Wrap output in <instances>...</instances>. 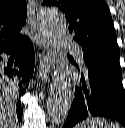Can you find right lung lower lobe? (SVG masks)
Masks as SVG:
<instances>
[{"mask_svg": "<svg viewBox=\"0 0 125 128\" xmlns=\"http://www.w3.org/2000/svg\"><path fill=\"white\" fill-rule=\"evenodd\" d=\"M3 54H9L10 58L14 57L15 62L8 63V65L4 67L0 66V71L13 79V85H18L20 95H22L26 92L24 86L29 84V80L34 72L35 53L33 45L29 38L24 36L17 41L0 48V62L3 61ZM18 79L20 80L19 83H17ZM16 112L20 123L23 108L19 102L16 105Z\"/></svg>", "mask_w": 125, "mask_h": 128, "instance_id": "98d812e1", "label": "right lung lower lobe"}]
</instances>
